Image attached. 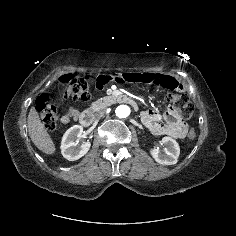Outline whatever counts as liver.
<instances>
[{
  "instance_id": "obj_1",
  "label": "liver",
  "mask_w": 236,
  "mask_h": 236,
  "mask_svg": "<svg viewBox=\"0 0 236 236\" xmlns=\"http://www.w3.org/2000/svg\"><path fill=\"white\" fill-rule=\"evenodd\" d=\"M28 132L34 145L43 153L54 154L56 148L47 130L41 123L39 115L34 107L30 109L28 114Z\"/></svg>"
}]
</instances>
